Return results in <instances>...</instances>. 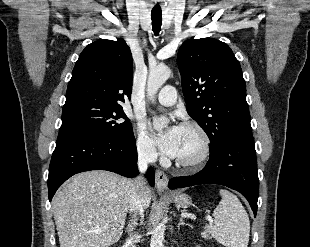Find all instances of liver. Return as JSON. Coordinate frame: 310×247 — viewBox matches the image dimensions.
Listing matches in <instances>:
<instances>
[{"instance_id":"6515ba94","label":"liver","mask_w":310,"mask_h":247,"mask_svg":"<svg viewBox=\"0 0 310 247\" xmlns=\"http://www.w3.org/2000/svg\"><path fill=\"white\" fill-rule=\"evenodd\" d=\"M129 181L95 170L66 182L52 201L60 247H109L118 242L128 211ZM140 198L143 209L147 208L151 202L148 186L140 189Z\"/></svg>"}]
</instances>
